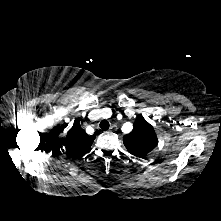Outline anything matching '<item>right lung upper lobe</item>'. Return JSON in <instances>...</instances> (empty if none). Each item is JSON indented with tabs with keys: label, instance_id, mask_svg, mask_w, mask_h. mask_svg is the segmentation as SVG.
Listing matches in <instances>:
<instances>
[{
	"label": "right lung upper lobe",
	"instance_id": "right-lung-upper-lobe-1",
	"mask_svg": "<svg viewBox=\"0 0 221 221\" xmlns=\"http://www.w3.org/2000/svg\"><path fill=\"white\" fill-rule=\"evenodd\" d=\"M94 139L95 135L89 136L86 134L76 121L67 133L65 153L70 157L80 158L90 150Z\"/></svg>",
	"mask_w": 221,
	"mask_h": 221
}]
</instances>
